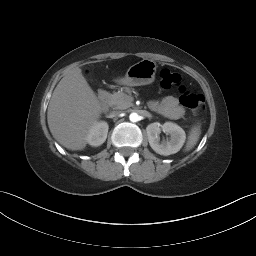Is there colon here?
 Segmentation results:
<instances>
[{
    "instance_id": "1",
    "label": "colon",
    "mask_w": 256,
    "mask_h": 256,
    "mask_svg": "<svg viewBox=\"0 0 256 256\" xmlns=\"http://www.w3.org/2000/svg\"><path fill=\"white\" fill-rule=\"evenodd\" d=\"M159 84L165 89L177 88L179 90V102L182 106L200 112L204 109V97L202 94L193 93L181 84V77L178 73L168 68H163L159 72Z\"/></svg>"
}]
</instances>
